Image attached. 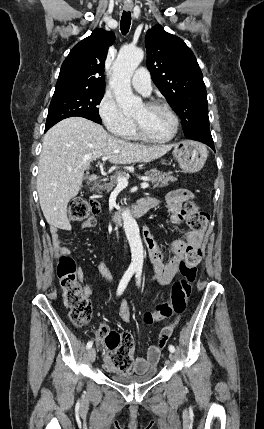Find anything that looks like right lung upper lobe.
<instances>
[{"mask_svg": "<svg viewBox=\"0 0 264 429\" xmlns=\"http://www.w3.org/2000/svg\"><path fill=\"white\" fill-rule=\"evenodd\" d=\"M114 39L112 32L96 29L76 44L62 64L55 90H105L104 62Z\"/></svg>", "mask_w": 264, "mask_h": 429, "instance_id": "obj_1", "label": "right lung upper lobe"}]
</instances>
